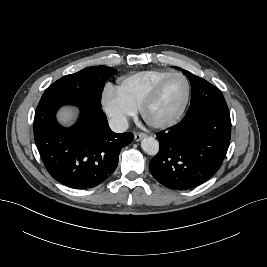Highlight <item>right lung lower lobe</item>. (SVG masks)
<instances>
[{
	"mask_svg": "<svg viewBox=\"0 0 267 267\" xmlns=\"http://www.w3.org/2000/svg\"><path fill=\"white\" fill-rule=\"evenodd\" d=\"M77 105L81 114L70 128L56 120L63 105ZM132 133H114L100 108L70 99L43 95L35 113L34 138L44 165L58 182L74 189L94 187L106 180L118 164L122 147Z\"/></svg>",
	"mask_w": 267,
	"mask_h": 267,
	"instance_id": "obj_1",
	"label": "right lung lower lobe"
}]
</instances>
